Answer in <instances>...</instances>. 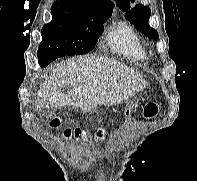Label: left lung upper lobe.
<instances>
[{
  "label": "left lung upper lobe",
  "mask_w": 197,
  "mask_h": 181,
  "mask_svg": "<svg viewBox=\"0 0 197 181\" xmlns=\"http://www.w3.org/2000/svg\"><path fill=\"white\" fill-rule=\"evenodd\" d=\"M119 8L126 12L125 18L134 24V26L146 36L157 39L158 32L150 27L148 24L149 18L151 15V10L149 7L143 6L141 4L136 5L134 8H131L129 0H116ZM134 2L135 0H131Z\"/></svg>",
  "instance_id": "1"
}]
</instances>
